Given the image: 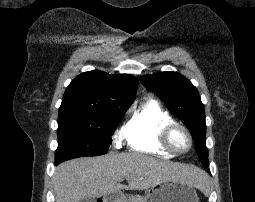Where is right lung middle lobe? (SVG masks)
<instances>
[{
    "instance_id": "obj_1",
    "label": "right lung middle lobe",
    "mask_w": 255,
    "mask_h": 202,
    "mask_svg": "<svg viewBox=\"0 0 255 202\" xmlns=\"http://www.w3.org/2000/svg\"><path fill=\"white\" fill-rule=\"evenodd\" d=\"M128 108L59 116L55 163L80 156L107 153L118 121Z\"/></svg>"
}]
</instances>
